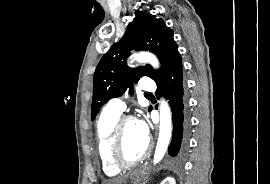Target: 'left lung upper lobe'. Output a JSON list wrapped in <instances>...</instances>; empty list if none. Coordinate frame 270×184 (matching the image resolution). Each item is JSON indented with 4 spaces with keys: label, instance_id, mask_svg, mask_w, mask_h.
I'll return each mask as SVG.
<instances>
[{
    "label": "left lung upper lobe",
    "instance_id": "obj_1",
    "mask_svg": "<svg viewBox=\"0 0 270 184\" xmlns=\"http://www.w3.org/2000/svg\"><path fill=\"white\" fill-rule=\"evenodd\" d=\"M131 50H149L156 54L161 63L160 71H155L150 65L134 69L128 67L125 59ZM177 52L178 46L173 39V30L166 26L163 19L137 11L122 39L112 45L96 67L91 118L95 119L103 104L121 96L127 88H130L129 92L132 93L133 83L142 76H148L156 81L165 72Z\"/></svg>",
    "mask_w": 270,
    "mask_h": 184
}]
</instances>
